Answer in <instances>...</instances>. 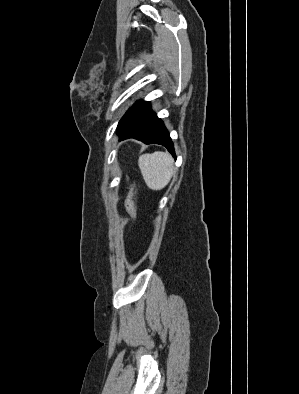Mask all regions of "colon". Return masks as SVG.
Returning <instances> with one entry per match:
<instances>
[{
  "label": "colon",
  "mask_w": 299,
  "mask_h": 394,
  "mask_svg": "<svg viewBox=\"0 0 299 394\" xmlns=\"http://www.w3.org/2000/svg\"><path fill=\"white\" fill-rule=\"evenodd\" d=\"M125 206H126L127 212L132 217H136L137 209H136V204H135V188L133 185H130L128 187V194L126 197Z\"/></svg>",
  "instance_id": "colon-1"
}]
</instances>
